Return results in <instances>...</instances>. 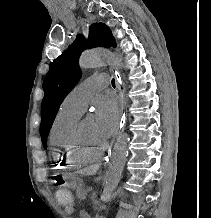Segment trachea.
<instances>
[{"label": "trachea", "mask_w": 211, "mask_h": 218, "mask_svg": "<svg viewBox=\"0 0 211 218\" xmlns=\"http://www.w3.org/2000/svg\"><path fill=\"white\" fill-rule=\"evenodd\" d=\"M111 83H112V86L115 88V80H114V78L112 79Z\"/></svg>", "instance_id": "1"}]
</instances>
